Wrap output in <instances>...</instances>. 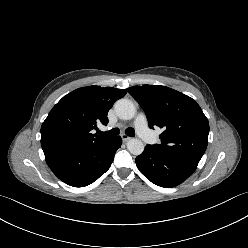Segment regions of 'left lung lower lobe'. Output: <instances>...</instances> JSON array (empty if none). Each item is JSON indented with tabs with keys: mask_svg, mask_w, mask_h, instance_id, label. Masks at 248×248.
<instances>
[{
	"mask_svg": "<svg viewBox=\"0 0 248 248\" xmlns=\"http://www.w3.org/2000/svg\"><path fill=\"white\" fill-rule=\"evenodd\" d=\"M136 165L152 183L168 188L184 182L198 163L157 152L147 145L144 152L136 157Z\"/></svg>",
	"mask_w": 248,
	"mask_h": 248,
	"instance_id": "obj_1",
	"label": "left lung lower lobe"
}]
</instances>
